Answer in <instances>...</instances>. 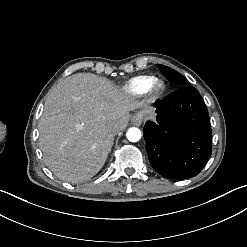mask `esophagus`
<instances>
[{
    "label": "esophagus",
    "mask_w": 247,
    "mask_h": 247,
    "mask_svg": "<svg viewBox=\"0 0 247 247\" xmlns=\"http://www.w3.org/2000/svg\"><path fill=\"white\" fill-rule=\"evenodd\" d=\"M131 122L133 125L135 126H140L141 125V119L139 117V115H134L132 118H131Z\"/></svg>",
    "instance_id": "1"
}]
</instances>
